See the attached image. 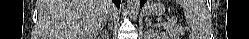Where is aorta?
Here are the masks:
<instances>
[{
  "instance_id": "aorta-1",
  "label": "aorta",
  "mask_w": 249,
  "mask_h": 39,
  "mask_svg": "<svg viewBox=\"0 0 249 39\" xmlns=\"http://www.w3.org/2000/svg\"><path fill=\"white\" fill-rule=\"evenodd\" d=\"M139 3V0H127V7L134 12L138 10Z\"/></svg>"
}]
</instances>
